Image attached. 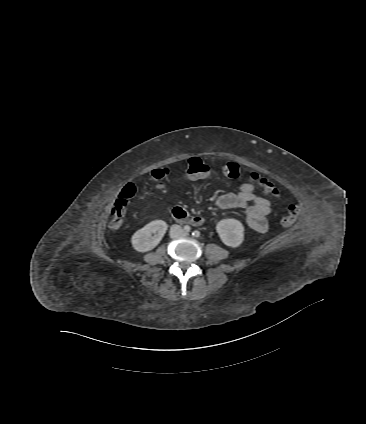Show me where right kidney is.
Returning <instances> with one entry per match:
<instances>
[{
  "label": "right kidney",
  "mask_w": 366,
  "mask_h": 424,
  "mask_svg": "<svg viewBox=\"0 0 366 424\" xmlns=\"http://www.w3.org/2000/svg\"><path fill=\"white\" fill-rule=\"evenodd\" d=\"M166 230V222L162 220L150 222L133 234L131 238L133 248L142 253L152 250L162 240ZM153 233H155V235L151 236Z\"/></svg>",
  "instance_id": "ca27d5eb"
}]
</instances>
